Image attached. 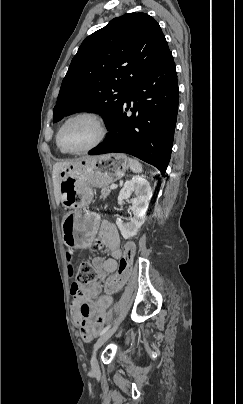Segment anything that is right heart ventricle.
<instances>
[{
    "label": "right heart ventricle",
    "mask_w": 243,
    "mask_h": 404,
    "mask_svg": "<svg viewBox=\"0 0 243 404\" xmlns=\"http://www.w3.org/2000/svg\"><path fill=\"white\" fill-rule=\"evenodd\" d=\"M56 146H57L58 150H59L62 154H69L67 151H65L64 148H61V147L58 145L57 139H56Z\"/></svg>",
    "instance_id": "e07e8e85"
}]
</instances>
